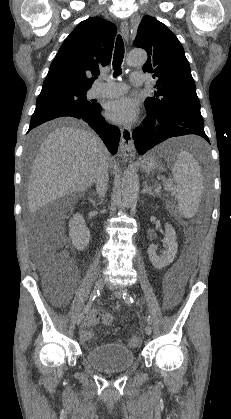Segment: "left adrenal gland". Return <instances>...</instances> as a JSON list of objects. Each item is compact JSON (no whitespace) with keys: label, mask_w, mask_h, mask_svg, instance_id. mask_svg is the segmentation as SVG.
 <instances>
[{"label":"left adrenal gland","mask_w":231,"mask_h":419,"mask_svg":"<svg viewBox=\"0 0 231 419\" xmlns=\"http://www.w3.org/2000/svg\"><path fill=\"white\" fill-rule=\"evenodd\" d=\"M142 194H149L151 196H155L150 187H148L147 182L144 183V188L142 190Z\"/></svg>","instance_id":"obj_1"}]
</instances>
